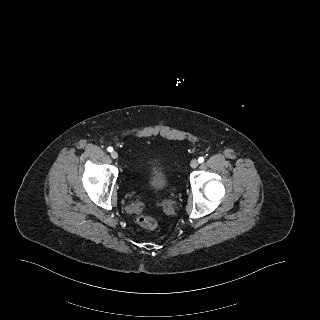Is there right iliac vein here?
<instances>
[{"label":"right iliac vein","instance_id":"right-iliac-vein-1","mask_svg":"<svg viewBox=\"0 0 320 320\" xmlns=\"http://www.w3.org/2000/svg\"><path fill=\"white\" fill-rule=\"evenodd\" d=\"M111 157H112L113 159H117V158H118V153H117L116 151H113V152L111 153Z\"/></svg>","mask_w":320,"mask_h":320}]
</instances>
